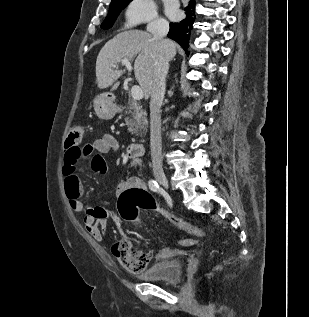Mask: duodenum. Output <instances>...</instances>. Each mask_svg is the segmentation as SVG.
<instances>
[{
    "mask_svg": "<svg viewBox=\"0 0 309 317\" xmlns=\"http://www.w3.org/2000/svg\"><path fill=\"white\" fill-rule=\"evenodd\" d=\"M144 153V146L142 143L140 142H134L131 143L128 147H127V155L130 158H137L142 156Z\"/></svg>",
    "mask_w": 309,
    "mask_h": 317,
    "instance_id": "410a0bca",
    "label": "duodenum"
}]
</instances>
